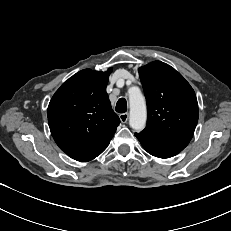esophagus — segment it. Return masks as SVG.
I'll list each match as a JSON object with an SVG mask.
<instances>
[{
	"label": "esophagus",
	"mask_w": 231,
	"mask_h": 231,
	"mask_svg": "<svg viewBox=\"0 0 231 231\" xmlns=\"http://www.w3.org/2000/svg\"><path fill=\"white\" fill-rule=\"evenodd\" d=\"M120 121L122 123H126L128 121L129 118V114L128 113H122L119 115Z\"/></svg>",
	"instance_id": "obj_1"
}]
</instances>
